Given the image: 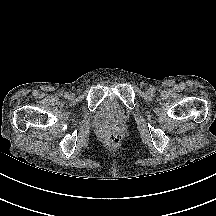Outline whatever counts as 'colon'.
<instances>
[{"mask_svg": "<svg viewBox=\"0 0 216 216\" xmlns=\"http://www.w3.org/2000/svg\"><path fill=\"white\" fill-rule=\"evenodd\" d=\"M121 139H122V137H121L120 133L112 132L107 136L106 141L109 145L115 146V145L120 143Z\"/></svg>", "mask_w": 216, "mask_h": 216, "instance_id": "obj_1", "label": "colon"}]
</instances>
